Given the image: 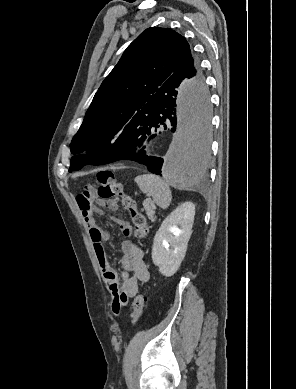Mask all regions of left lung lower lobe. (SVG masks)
I'll list each match as a JSON object with an SVG mask.
<instances>
[{
  "instance_id": "1",
  "label": "left lung lower lobe",
  "mask_w": 296,
  "mask_h": 389,
  "mask_svg": "<svg viewBox=\"0 0 296 389\" xmlns=\"http://www.w3.org/2000/svg\"><path fill=\"white\" fill-rule=\"evenodd\" d=\"M173 76V75H172ZM169 77L153 96V104L148 110L136 114L123 130L99 154V165L118 160H131L144 164L148 170L161 174L163 159L152 156L151 144L157 136V129L177 127L176 96L181 82L188 79L191 103L195 110V123L185 130V140L194 165L193 177H200L209 159V97L204 79H193L185 75ZM206 125L203 129L202 126Z\"/></svg>"
}]
</instances>
